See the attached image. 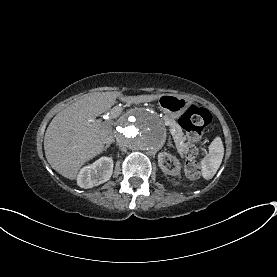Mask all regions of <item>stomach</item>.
<instances>
[{"mask_svg": "<svg viewBox=\"0 0 277 277\" xmlns=\"http://www.w3.org/2000/svg\"><path fill=\"white\" fill-rule=\"evenodd\" d=\"M192 102L176 95L165 94L159 98L160 109L170 118H179Z\"/></svg>", "mask_w": 277, "mask_h": 277, "instance_id": "stomach-1", "label": "stomach"}]
</instances>
